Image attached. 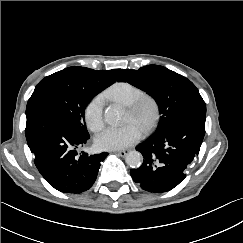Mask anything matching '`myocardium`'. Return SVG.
<instances>
[{
  "mask_svg": "<svg viewBox=\"0 0 243 243\" xmlns=\"http://www.w3.org/2000/svg\"><path fill=\"white\" fill-rule=\"evenodd\" d=\"M127 107L128 110L135 115L142 113L146 107H150L152 111L151 119L142 130L145 133H149L154 129L160 115L159 103L155 96L145 92Z\"/></svg>",
  "mask_w": 243,
  "mask_h": 243,
  "instance_id": "obj_1",
  "label": "myocardium"
}]
</instances>
